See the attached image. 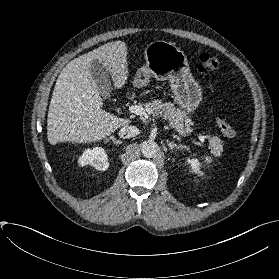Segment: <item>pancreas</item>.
Here are the masks:
<instances>
[{
	"label": "pancreas",
	"instance_id": "obj_1",
	"mask_svg": "<svg viewBox=\"0 0 279 279\" xmlns=\"http://www.w3.org/2000/svg\"><path fill=\"white\" fill-rule=\"evenodd\" d=\"M146 112L149 115L162 117L169 122L171 128L175 129L179 134L185 135L190 129V120L185 111L176 108L171 102H163L162 100H154L144 104ZM210 147L216 152L221 153L223 145L221 140L214 136L209 139Z\"/></svg>",
	"mask_w": 279,
	"mask_h": 279
}]
</instances>
